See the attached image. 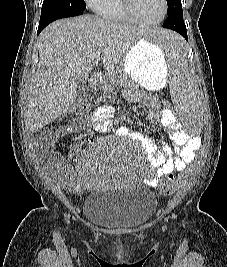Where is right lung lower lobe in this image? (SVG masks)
<instances>
[{
	"label": "right lung lower lobe",
	"instance_id": "1",
	"mask_svg": "<svg viewBox=\"0 0 227 267\" xmlns=\"http://www.w3.org/2000/svg\"><path fill=\"white\" fill-rule=\"evenodd\" d=\"M85 12L86 11L41 14L37 34H39L48 24H50L51 22L57 19L78 16Z\"/></svg>",
	"mask_w": 227,
	"mask_h": 267
}]
</instances>
